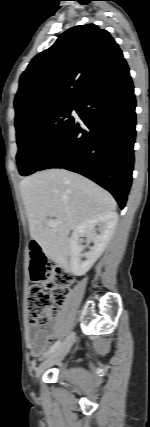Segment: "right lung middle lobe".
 <instances>
[{
  "label": "right lung middle lobe",
  "mask_w": 150,
  "mask_h": 427,
  "mask_svg": "<svg viewBox=\"0 0 150 427\" xmlns=\"http://www.w3.org/2000/svg\"><path fill=\"white\" fill-rule=\"evenodd\" d=\"M76 105H55L32 111L16 120L19 172L23 176L34 173L74 118Z\"/></svg>",
  "instance_id": "obj_1"
}]
</instances>
